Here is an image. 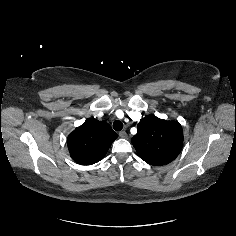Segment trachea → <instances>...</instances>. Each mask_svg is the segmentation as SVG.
Wrapping results in <instances>:
<instances>
[{"mask_svg": "<svg viewBox=\"0 0 236 236\" xmlns=\"http://www.w3.org/2000/svg\"><path fill=\"white\" fill-rule=\"evenodd\" d=\"M113 128L115 131H121L123 128V123L119 120L114 121Z\"/></svg>", "mask_w": 236, "mask_h": 236, "instance_id": "obj_1", "label": "trachea"}]
</instances>
